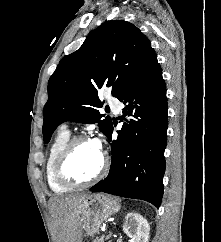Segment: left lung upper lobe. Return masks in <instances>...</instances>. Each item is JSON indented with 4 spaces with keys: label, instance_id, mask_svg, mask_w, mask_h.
Masks as SVG:
<instances>
[{
    "label": "left lung upper lobe",
    "instance_id": "obj_1",
    "mask_svg": "<svg viewBox=\"0 0 221 242\" xmlns=\"http://www.w3.org/2000/svg\"><path fill=\"white\" fill-rule=\"evenodd\" d=\"M158 65L149 39L136 26L123 20L101 24L77 51L59 62L49 79L44 142L67 120L98 123L107 136L112 122L97 110L102 106L98 89L111 87L112 95L119 99Z\"/></svg>",
    "mask_w": 221,
    "mask_h": 242
}]
</instances>
